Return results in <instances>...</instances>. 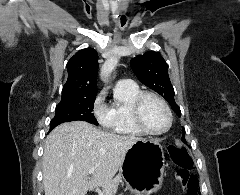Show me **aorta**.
Wrapping results in <instances>:
<instances>
[{
  "label": "aorta",
  "instance_id": "1",
  "mask_svg": "<svg viewBox=\"0 0 240 195\" xmlns=\"http://www.w3.org/2000/svg\"><path fill=\"white\" fill-rule=\"evenodd\" d=\"M119 60L116 56H111V58H106L103 66L100 68V78L103 82H107L109 76H111L113 70H115Z\"/></svg>",
  "mask_w": 240,
  "mask_h": 195
}]
</instances>
